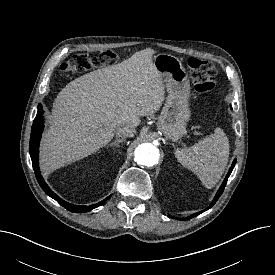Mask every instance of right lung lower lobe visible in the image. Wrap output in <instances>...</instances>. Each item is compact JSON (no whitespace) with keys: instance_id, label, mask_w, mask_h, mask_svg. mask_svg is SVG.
<instances>
[{"instance_id":"obj_1","label":"right lung lower lobe","mask_w":275,"mask_h":275,"mask_svg":"<svg viewBox=\"0 0 275 275\" xmlns=\"http://www.w3.org/2000/svg\"><path fill=\"white\" fill-rule=\"evenodd\" d=\"M43 110L42 108L38 110L37 115L34 119L32 128H31V137H30V145H29V152L31 155V159H32V165H33V169H34V173L36 175V179L39 183V185L41 186V188L43 189V191L49 195L51 198H53L54 200H56L60 205H62L64 208H66L67 210L71 211V212H75V213H83V212H88L98 206H101L105 203L106 200H108L110 196H108L106 199L100 201L97 204L91 205V206H79V205H73V204H69L67 202H65L64 200H62L59 196H57L50 188L49 186L46 184V182L44 181L41 173H40V169H39V143H40V138H41V134L44 128L43 125Z\"/></svg>"}]
</instances>
